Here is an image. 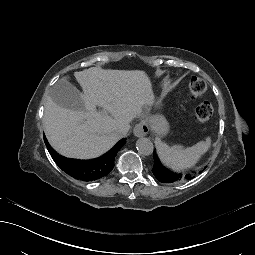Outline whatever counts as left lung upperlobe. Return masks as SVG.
Here are the masks:
<instances>
[{
    "label": "left lung upper lobe",
    "instance_id": "1",
    "mask_svg": "<svg viewBox=\"0 0 255 255\" xmlns=\"http://www.w3.org/2000/svg\"><path fill=\"white\" fill-rule=\"evenodd\" d=\"M154 157H157L155 153H154ZM173 173H174V172H173ZM185 178H186V179H189V177H185ZM156 179H157V178H156ZM157 180H158V179H157ZM180 180H181V179H180ZM180 180H179V181H180ZM158 181H159V180H158ZM160 182H162V181H160Z\"/></svg>",
    "mask_w": 255,
    "mask_h": 255
}]
</instances>
